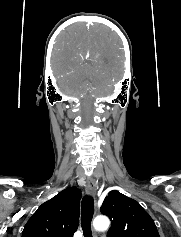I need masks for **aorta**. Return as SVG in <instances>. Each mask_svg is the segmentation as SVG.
Here are the masks:
<instances>
[{
  "instance_id": "aorta-1",
  "label": "aorta",
  "mask_w": 181,
  "mask_h": 237,
  "mask_svg": "<svg viewBox=\"0 0 181 237\" xmlns=\"http://www.w3.org/2000/svg\"><path fill=\"white\" fill-rule=\"evenodd\" d=\"M110 221L106 216H97L93 221V227L97 231H105L109 228Z\"/></svg>"
}]
</instances>
